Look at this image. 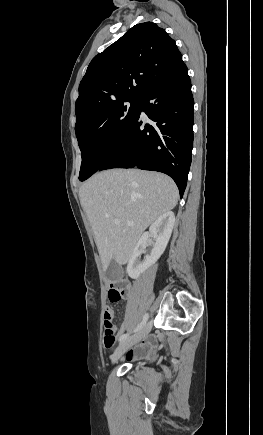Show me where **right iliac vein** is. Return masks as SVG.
Masks as SVG:
<instances>
[{
    "instance_id": "right-iliac-vein-1",
    "label": "right iliac vein",
    "mask_w": 263,
    "mask_h": 435,
    "mask_svg": "<svg viewBox=\"0 0 263 435\" xmlns=\"http://www.w3.org/2000/svg\"><path fill=\"white\" fill-rule=\"evenodd\" d=\"M152 328V323L148 322L141 330H139L134 335L126 338L124 341L120 343L118 348L115 350L114 354L111 357L112 363L117 362V360L134 344L138 343L140 340H142L145 336L148 335Z\"/></svg>"
}]
</instances>
